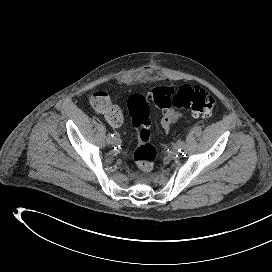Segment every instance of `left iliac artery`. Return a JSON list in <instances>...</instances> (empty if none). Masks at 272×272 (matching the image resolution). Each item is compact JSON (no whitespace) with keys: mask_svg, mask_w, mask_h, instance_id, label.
Instances as JSON below:
<instances>
[{"mask_svg":"<svg viewBox=\"0 0 272 272\" xmlns=\"http://www.w3.org/2000/svg\"><path fill=\"white\" fill-rule=\"evenodd\" d=\"M176 146H177L178 151L181 152L185 147V142L183 140H179L177 142Z\"/></svg>","mask_w":272,"mask_h":272,"instance_id":"left-iliac-artery-1","label":"left iliac artery"}]
</instances>
